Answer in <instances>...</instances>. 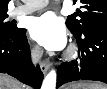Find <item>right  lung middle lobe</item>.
<instances>
[{"label":"right lung middle lobe","mask_w":107,"mask_h":89,"mask_svg":"<svg viewBox=\"0 0 107 89\" xmlns=\"http://www.w3.org/2000/svg\"><path fill=\"white\" fill-rule=\"evenodd\" d=\"M7 16V12L0 13V33L6 36L14 35L16 32L20 31V28H17L13 22H6L5 19Z\"/></svg>","instance_id":"1"}]
</instances>
